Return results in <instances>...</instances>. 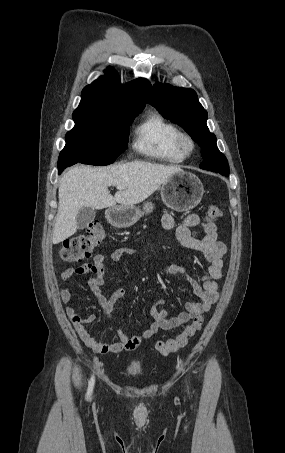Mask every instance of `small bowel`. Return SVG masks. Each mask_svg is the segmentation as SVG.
<instances>
[{"instance_id":"obj_1","label":"small bowel","mask_w":285,"mask_h":453,"mask_svg":"<svg viewBox=\"0 0 285 453\" xmlns=\"http://www.w3.org/2000/svg\"><path fill=\"white\" fill-rule=\"evenodd\" d=\"M200 223V218L196 214L186 216L179 224L176 225L175 219L170 214H165L162 217V227L165 230H175L176 238L180 244L188 249L197 251L203 255L208 262V272L199 280L195 279L187 273V271L177 265L170 264L164 267L167 274L180 276L185 278L192 286L193 292L198 301H188L185 304L186 310L179 313L177 316L167 318L166 311L162 308L163 300L154 304L150 310V315L153 319L151 325L139 335L129 336L118 330L119 340L111 343H104L96 340L87 330L86 325L95 321V315L80 316L75 309L69 305L72 294L69 287L62 288L60 297L66 306V313L74 325L76 332L85 345L91 348L94 352L100 354L120 353L123 351L135 350L144 340L153 337L159 330H171L184 325L191 319L200 317L203 313L210 310L212 305L219 297L218 280L223 275V257L226 253V245L218 240L217 227L213 222H206L203 225L204 237L196 238L191 234V228ZM137 250L131 247H119L115 249L110 259L112 261H120L127 254H135ZM107 255H95L93 262L86 263L80 266L66 269L61 274V279L66 281L76 275L90 274L88 280L89 288L103 309L107 320H111V312L115 303L125 295L123 289H117L108 297L102 293L104 285L103 275L105 272V261Z\"/></svg>"}]
</instances>
